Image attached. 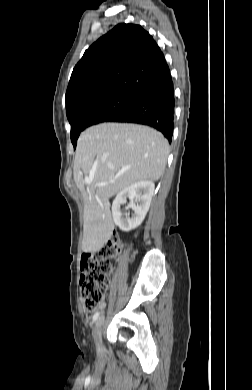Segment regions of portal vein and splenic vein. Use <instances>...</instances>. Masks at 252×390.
I'll return each mask as SVG.
<instances>
[{
    "mask_svg": "<svg viewBox=\"0 0 252 390\" xmlns=\"http://www.w3.org/2000/svg\"><path fill=\"white\" fill-rule=\"evenodd\" d=\"M84 180H85L86 183H91L92 182V178H89L87 176L84 178ZM111 182H113V181H111ZM105 185H107V183H100V184H98V186H105Z\"/></svg>",
    "mask_w": 252,
    "mask_h": 390,
    "instance_id": "1",
    "label": "portal vein and splenic vein"
}]
</instances>
